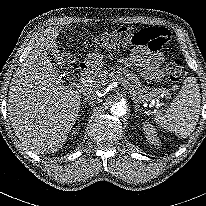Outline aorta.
<instances>
[{"mask_svg": "<svg viewBox=\"0 0 206 206\" xmlns=\"http://www.w3.org/2000/svg\"><path fill=\"white\" fill-rule=\"evenodd\" d=\"M127 107L124 103L118 102L111 106L110 112L112 115L121 117L126 114Z\"/></svg>", "mask_w": 206, "mask_h": 206, "instance_id": "1", "label": "aorta"}]
</instances>
